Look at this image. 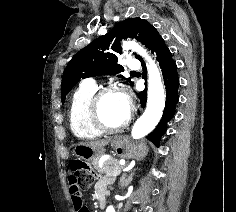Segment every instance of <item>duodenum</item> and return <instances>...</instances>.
I'll return each mask as SVG.
<instances>
[{
	"instance_id": "duodenum-1",
	"label": "duodenum",
	"mask_w": 236,
	"mask_h": 212,
	"mask_svg": "<svg viewBox=\"0 0 236 212\" xmlns=\"http://www.w3.org/2000/svg\"><path fill=\"white\" fill-rule=\"evenodd\" d=\"M96 200L99 208H103L106 204L107 192L104 191L103 189H99L96 193Z\"/></svg>"
}]
</instances>
